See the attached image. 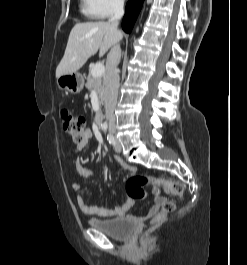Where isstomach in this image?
I'll use <instances>...</instances> for the list:
<instances>
[{
  "label": "stomach",
  "instance_id": "1",
  "mask_svg": "<svg viewBox=\"0 0 247 265\" xmlns=\"http://www.w3.org/2000/svg\"><path fill=\"white\" fill-rule=\"evenodd\" d=\"M56 84L61 90L78 94L84 87V78L80 73L74 72L57 77Z\"/></svg>",
  "mask_w": 247,
  "mask_h": 265
}]
</instances>
